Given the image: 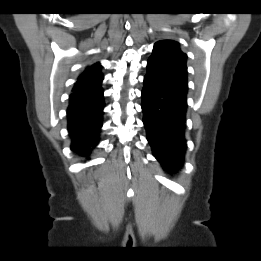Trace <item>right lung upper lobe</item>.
Segmentation results:
<instances>
[{
  "instance_id": "1",
  "label": "right lung upper lobe",
  "mask_w": 261,
  "mask_h": 261,
  "mask_svg": "<svg viewBox=\"0 0 261 261\" xmlns=\"http://www.w3.org/2000/svg\"><path fill=\"white\" fill-rule=\"evenodd\" d=\"M102 79L103 75L100 72L99 63L94 64L88 67L84 73L79 76L78 81L74 85L73 91L91 89L100 85Z\"/></svg>"
}]
</instances>
